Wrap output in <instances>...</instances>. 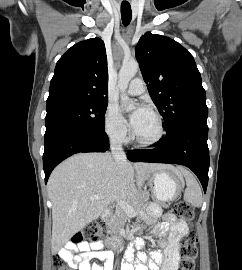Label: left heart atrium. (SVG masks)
<instances>
[{
    "instance_id": "1",
    "label": "left heart atrium",
    "mask_w": 242,
    "mask_h": 270,
    "mask_svg": "<svg viewBox=\"0 0 242 270\" xmlns=\"http://www.w3.org/2000/svg\"><path fill=\"white\" fill-rule=\"evenodd\" d=\"M148 113H150V111L145 105H138L130 116V125L132 128L136 129Z\"/></svg>"
}]
</instances>
